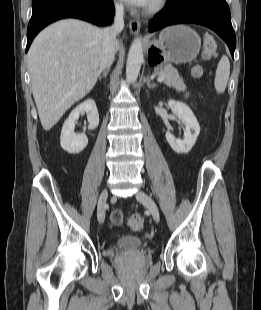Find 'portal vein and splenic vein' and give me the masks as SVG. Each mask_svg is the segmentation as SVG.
Segmentation results:
<instances>
[{
  "mask_svg": "<svg viewBox=\"0 0 261 310\" xmlns=\"http://www.w3.org/2000/svg\"><path fill=\"white\" fill-rule=\"evenodd\" d=\"M164 80V77L163 76H159L158 78H157V81H159V82H162Z\"/></svg>",
  "mask_w": 261,
  "mask_h": 310,
  "instance_id": "18ae733b",
  "label": "portal vein and splenic vein"
}]
</instances>
